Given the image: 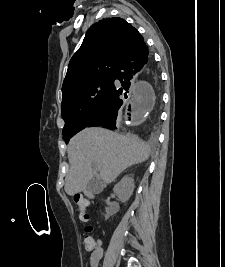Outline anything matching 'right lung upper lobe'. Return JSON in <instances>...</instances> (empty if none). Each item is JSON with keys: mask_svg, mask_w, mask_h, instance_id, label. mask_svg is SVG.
Instances as JSON below:
<instances>
[{"mask_svg": "<svg viewBox=\"0 0 225 267\" xmlns=\"http://www.w3.org/2000/svg\"><path fill=\"white\" fill-rule=\"evenodd\" d=\"M143 40L138 30L122 18L103 19L93 24L69 62L62 93L88 81L114 75L122 56Z\"/></svg>", "mask_w": 225, "mask_h": 267, "instance_id": "obj_1", "label": "right lung upper lobe"}]
</instances>
